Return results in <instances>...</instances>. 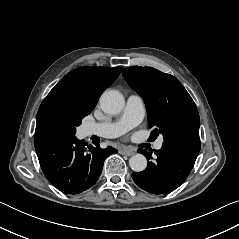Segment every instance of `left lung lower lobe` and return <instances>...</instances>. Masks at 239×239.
Wrapping results in <instances>:
<instances>
[{"label": "left lung lower lobe", "mask_w": 239, "mask_h": 239, "mask_svg": "<svg viewBox=\"0 0 239 239\" xmlns=\"http://www.w3.org/2000/svg\"><path fill=\"white\" fill-rule=\"evenodd\" d=\"M201 144L199 135L179 134L164 140L160 150H154L157 158L152 162V152H138L146 156L147 168L132 173L134 182L153 194H165L178 188L192 170Z\"/></svg>", "instance_id": "1"}]
</instances>
